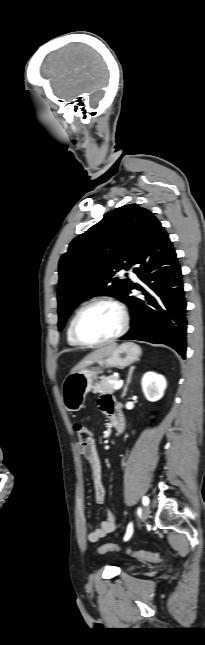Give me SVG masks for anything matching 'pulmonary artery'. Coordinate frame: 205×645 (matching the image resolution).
Instances as JSON below:
<instances>
[{
	"instance_id": "pulmonary-artery-1",
	"label": "pulmonary artery",
	"mask_w": 205,
	"mask_h": 645,
	"mask_svg": "<svg viewBox=\"0 0 205 645\" xmlns=\"http://www.w3.org/2000/svg\"><path fill=\"white\" fill-rule=\"evenodd\" d=\"M121 273L122 274L127 273L131 278L136 279V274L131 269H128V270L124 269L121 271Z\"/></svg>"
}]
</instances>
